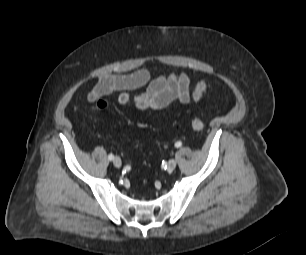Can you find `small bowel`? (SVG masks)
Segmentation results:
<instances>
[{"mask_svg":"<svg viewBox=\"0 0 306 255\" xmlns=\"http://www.w3.org/2000/svg\"><path fill=\"white\" fill-rule=\"evenodd\" d=\"M144 86V92L132 94V91ZM205 90V80L191 86L188 76L177 72L151 79L150 71L142 68L132 73L105 74L98 77L88 100L95 102L103 96L118 92V103L123 108L133 103L140 111L160 110L174 101L184 104L198 101Z\"/></svg>","mask_w":306,"mask_h":255,"instance_id":"1","label":"small bowel"}]
</instances>
